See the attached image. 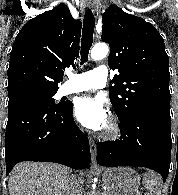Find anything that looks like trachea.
<instances>
[{"label": "trachea", "mask_w": 178, "mask_h": 195, "mask_svg": "<svg viewBox=\"0 0 178 195\" xmlns=\"http://www.w3.org/2000/svg\"><path fill=\"white\" fill-rule=\"evenodd\" d=\"M95 18L90 9H87L84 16L82 39H81V65L88 60L89 50L93 43V32Z\"/></svg>", "instance_id": "3493384b"}]
</instances>
